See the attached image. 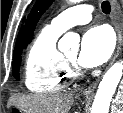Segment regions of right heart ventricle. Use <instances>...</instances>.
<instances>
[{"label": "right heart ventricle", "instance_id": "obj_1", "mask_svg": "<svg viewBox=\"0 0 123 113\" xmlns=\"http://www.w3.org/2000/svg\"><path fill=\"white\" fill-rule=\"evenodd\" d=\"M61 33L45 26L33 40L24 67L25 85L30 91L55 93L62 90L70 79L65 56L57 48Z\"/></svg>", "mask_w": 123, "mask_h": 113}]
</instances>
